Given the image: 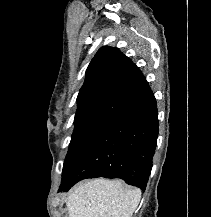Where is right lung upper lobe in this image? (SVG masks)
<instances>
[{
	"label": "right lung upper lobe",
	"mask_w": 211,
	"mask_h": 217,
	"mask_svg": "<svg viewBox=\"0 0 211 217\" xmlns=\"http://www.w3.org/2000/svg\"><path fill=\"white\" fill-rule=\"evenodd\" d=\"M150 92L139 68L117 48L104 46L87 68L75 120L95 115L117 117Z\"/></svg>",
	"instance_id": "right-lung-upper-lobe-1"
}]
</instances>
